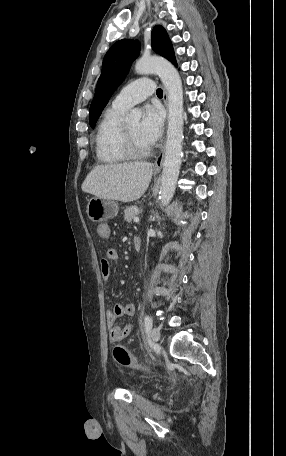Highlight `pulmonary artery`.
I'll list each match as a JSON object with an SVG mask.
<instances>
[{"mask_svg":"<svg viewBox=\"0 0 286 456\" xmlns=\"http://www.w3.org/2000/svg\"><path fill=\"white\" fill-rule=\"evenodd\" d=\"M155 91L153 81L148 77H142L125 86L114 98L112 106L127 110L132 106L144 101Z\"/></svg>","mask_w":286,"mask_h":456,"instance_id":"e3ab8cb5","label":"pulmonary artery"}]
</instances>
